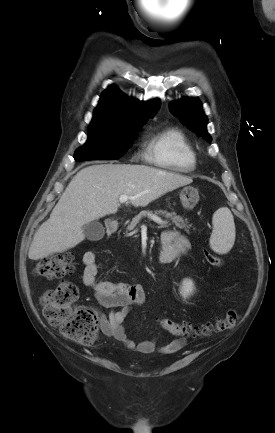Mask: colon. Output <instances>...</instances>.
Here are the masks:
<instances>
[{"label":"colon","mask_w":275,"mask_h":433,"mask_svg":"<svg viewBox=\"0 0 275 433\" xmlns=\"http://www.w3.org/2000/svg\"><path fill=\"white\" fill-rule=\"evenodd\" d=\"M205 259L212 266H221L217 255L205 250ZM74 269L70 256H54L40 259L35 267L37 276L47 279L62 278ZM78 298L77 287L69 281H61L55 288L45 291L41 296L43 314L46 320L58 327L67 338L83 344H92L98 334L97 316L87 306H75ZM239 314L229 309L213 323L192 325L176 322L169 318L159 320L160 326L177 337H206L212 333L224 332L235 327Z\"/></svg>","instance_id":"obj_1"}]
</instances>
